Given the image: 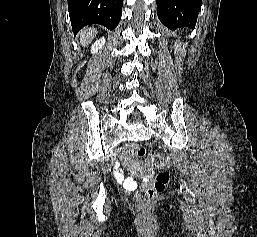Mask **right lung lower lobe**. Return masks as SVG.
<instances>
[{
  "label": "right lung lower lobe",
  "mask_w": 257,
  "mask_h": 237,
  "mask_svg": "<svg viewBox=\"0 0 257 237\" xmlns=\"http://www.w3.org/2000/svg\"><path fill=\"white\" fill-rule=\"evenodd\" d=\"M122 5L123 0H68L74 33L89 24H100L113 30L120 22Z\"/></svg>",
  "instance_id": "1"
}]
</instances>
